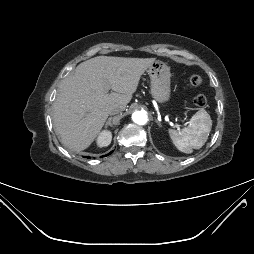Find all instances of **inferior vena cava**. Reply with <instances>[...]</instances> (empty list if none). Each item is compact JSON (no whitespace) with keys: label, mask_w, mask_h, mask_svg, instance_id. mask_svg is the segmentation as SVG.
I'll list each match as a JSON object with an SVG mask.
<instances>
[{"label":"inferior vena cava","mask_w":254,"mask_h":254,"mask_svg":"<svg viewBox=\"0 0 254 254\" xmlns=\"http://www.w3.org/2000/svg\"><path fill=\"white\" fill-rule=\"evenodd\" d=\"M121 111H122V108H121V107L115 106V107L111 108L109 114H110V115H116V114L121 113Z\"/></svg>","instance_id":"obj_1"}]
</instances>
